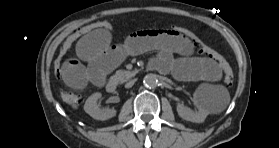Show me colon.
Instances as JSON below:
<instances>
[{"label": "colon", "instance_id": "5ec220e1", "mask_svg": "<svg viewBox=\"0 0 279 148\" xmlns=\"http://www.w3.org/2000/svg\"><path fill=\"white\" fill-rule=\"evenodd\" d=\"M114 26L111 22L107 20L93 21L81 28L74 30L67 39L61 45L59 52L54 60V71L58 78H62V66L64 61L67 59V55L72 49L73 45L80 40L83 36L96 31L104 30L111 31ZM167 32L176 34L186 39L191 45L198 50L199 53L206 55L211 60L215 61L224 72V82L228 88H232L234 85V74L230 64L226 59L213 50L212 48L205 45L192 31L189 29L172 25L163 29ZM62 100L72 108H77L82 103V96L71 90H62L61 93Z\"/></svg>", "mask_w": 279, "mask_h": 148}]
</instances>
